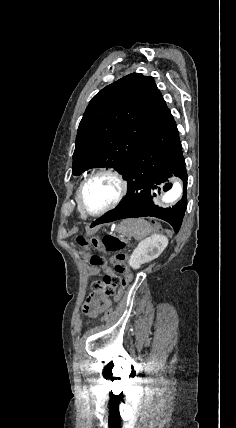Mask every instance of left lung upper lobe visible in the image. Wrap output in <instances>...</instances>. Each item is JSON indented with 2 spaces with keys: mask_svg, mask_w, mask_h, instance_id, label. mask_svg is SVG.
<instances>
[{
  "mask_svg": "<svg viewBox=\"0 0 236 428\" xmlns=\"http://www.w3.org/2000/svg\"><path fill=\"white\" fill-rule=\"evenodd\" d=\"M167 109L150 76L132 73L103 88L79 124L72 174L93 167L123 174L147 130Z\"/></svg>",
  "mask_w": 236,
  "mask_h": 428,
  "instance_id": "1",
  "label": "left lung upper lobe"
}]
</instances>
